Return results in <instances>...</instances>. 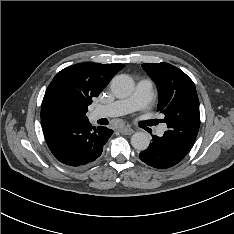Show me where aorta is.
Returning <instances> with one entry per match:
<instances>
[{"label":"aorta","instance_id":"aorta-1","mask_svg":"<svg viewBox=\"0 0 234 234\" xmlns=\"http://www.w3.org/2000/svg\"><path fill=\"white\" fill-rule=\"evenodd\" d=\"M111 91L117 98H126L134 91V82L127 75H118L111 81ZM150 139L144 132H136L131 137V145L140 151L148 148Z\"/></svg>","mask_w":234,"mask_h":234}]
</instances>
